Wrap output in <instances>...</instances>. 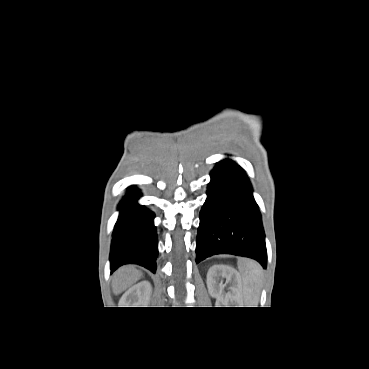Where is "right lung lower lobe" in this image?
<instances>
[{
  "label": "right lung lower lobe",
  "mask_w": 369,
  "mask_h": 369,
  "mask_svg": "<svg viewBox=\"0 0 369 369\" xmlns=\"http://www.w3.org/2000/svg\"><path fill=\"white\" fill-rule=\"evenodd\" d=\"M138 192L134 188L119 204L120 214L110 252L111 272L126 264H138L153 273L156 271L158 242L154 214L137 204Z\"/></svg>",
  "instance_id": "right-lung-lower-lobe-1"
}]
</instances>
